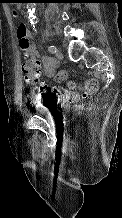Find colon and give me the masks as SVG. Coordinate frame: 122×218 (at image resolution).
<instances>
[{
  "label": "colon",
  "mask_w": 122,
  "mask_h": 218,
  "mask_svg": "<svg viewBox=\"0 0 122 218\" xmlns=\"http://www.w3.org/2000/svg\"><path fill=\"white\" fill-rule=\"evenodd\" d=\"M17 16V13H14ZM17 40L19 49L21 52L22 66L26 72V80L28 83L37 82V73L40 70V63L36 61L30 51V34L24 23H19L16 31ZM98 89V82L95 79H86L81 85L77 87H72L69 90L61 91L56 89V92L59 93L66 101L75 102L78 98H88L93 96ZM39 90L42 93H45L49 90L48 86L41 84ZM50 91H54V88H50Z\"/></svg>",
  "instance_id": "5ec220e1"
}]
</instances>
